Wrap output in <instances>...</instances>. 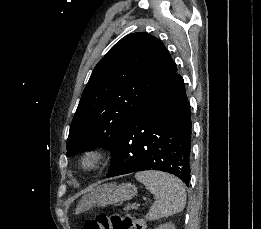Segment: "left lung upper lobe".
Wrapping results in <instances>:
<instances>
[{"label":"left lung upper lobe","instance_id":"5c2ea615","mask_svg":"<svg viewBox=\"0 0 261 229\" xmlns=\"http://www.w3.org/2000/svg\"><path fill=\"white\" fill-rule=\"evenodd\" d=\"M177 71L164 44L146 32L125 36L99 61L86 85L67 139V155L116 149L149 95Z\"/></svg>","mask_w":261,"mask_h":229}]
</instances>
